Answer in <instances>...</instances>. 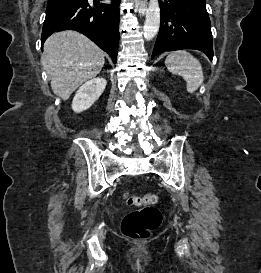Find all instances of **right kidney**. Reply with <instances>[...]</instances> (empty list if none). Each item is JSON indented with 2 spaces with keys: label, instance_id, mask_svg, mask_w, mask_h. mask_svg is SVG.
<instances>
[{
  "label": "right kidney",
  "instance_id": "obj_1",
  "mask_svg": "<svg viewBox=\"0 0 261 273\" xmlns=\"http://www.w3.org/2000/svg\"><path fill=\"white\" fill-rule=\"evenodd\" d=\"M107 81L104 78H94L84 83L76 92L72 101V109L76 113L89 109L101 96Z\"/></svg>",
  "mask_w": 261,
  "mask_h": 273
}]
</instances>
